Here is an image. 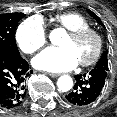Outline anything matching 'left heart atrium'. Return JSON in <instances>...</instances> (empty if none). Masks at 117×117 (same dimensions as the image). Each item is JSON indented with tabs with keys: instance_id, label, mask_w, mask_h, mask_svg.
I'll use <instances>...</instances> for the list:
<instances>
[{
	"instance_id": "1",
	"label": "left heart atrium",
	"mask_w": 117,
	"mask_h": 117,
	"mask_svg": "<svg viewBox=\"0 0 117 117\" xmlns=\"http://www.w3.org/2000/svg\"><path fill=\"white\" fill-rule=\"evenodd\" d=\"M78 58L69 47H49L37 55L32 63L37 69L48 72H62L75 68Z\"/></svg>"
}]
</instances>
